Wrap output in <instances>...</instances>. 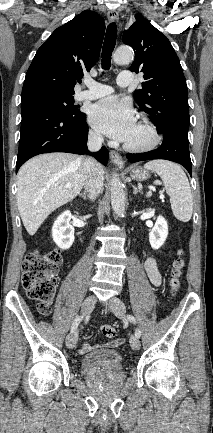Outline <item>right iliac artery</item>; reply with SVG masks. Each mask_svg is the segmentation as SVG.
Wrapping results in <instances>:
<instances>
[{
	"mask_svg": "<svg viewBox=\"0 0 213 433\" xmlns=\"http://www.w3.org/2000/svg\"><path fill=\"white\" fill-rule=\"evenodd\" d=\"M82 319H83V316H78L74 320V322H73V324L71 326V332H74L77 329V327H78L79 323L82 321Z\"/></svg>",
	"mask_w": 213,
	"mask_h": 433,
	"instance_id": "right-iliac-artery-1",
	"label": "right iliac artery"
}]
</instances>
